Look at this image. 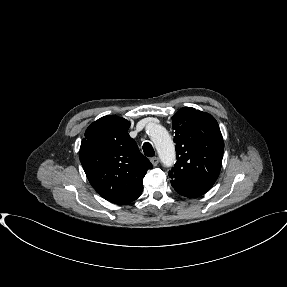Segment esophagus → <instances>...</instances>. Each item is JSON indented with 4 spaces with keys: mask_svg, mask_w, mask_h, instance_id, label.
Returning <instances> with one entry per match:
<instances>
[{
    "mask_svg": "<svg viewBox=\"0 0 287 287\" xmlns=\"http://www.w3.org/2000/svg\"><path fill=\"white\" fill-rule=\"evenodd\" d=\"M151 163L153 164V166H157L159 163V158L158 157H152L150 159Z\"/></svg>",
    "mask_w": 287,
    "mask_h": 287,
    "instance_id": "esophagus-1",
    "label": "esophagus"
}]
</instances>
